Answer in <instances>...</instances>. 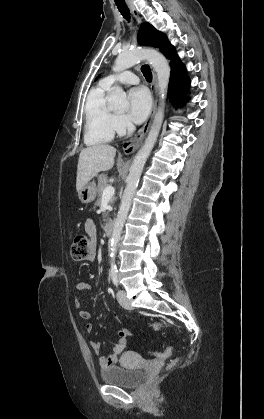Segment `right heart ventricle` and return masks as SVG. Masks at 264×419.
Segmentation results:
<instances>
[{
  "label": "right heart ventricle",
  "instance_id": "1",
  "mask_svg": "<svg viewBox=\"0 0 264 419\" xmlns=\"http://www.w3.org/2000/svg\"><path fill=\"white\" fill-rule=\"evenodd\" d=\"M109 87L100 82L91 89L85 105L84 141L87 145L110 142L114 137V112L106 104Z\"/></svg>",
  "mask_w": 264,
  "mask_h": 419
}]
</instances>
